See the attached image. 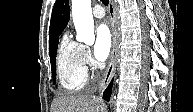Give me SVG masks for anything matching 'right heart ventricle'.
Masks as SVG:
<instances>
[{"label":"right heart ventricle","instance_id":"obj_1","mask_svg":"<svg viewBox=\"0 0 193 112\" xmlns=\"http://www.w3.org/2000/svg\"><path fill=\"white\" fill-rule=\"evenodd\" d=\"M57 77L61 87L68 92L84 88L88 74L82 58V46L64 35L57 52Z\"/></svg>","mask_w":193,"mask_h":112}]
</instances>
